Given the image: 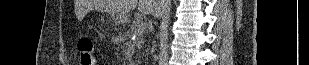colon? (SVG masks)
Returning <instances> with one entry per match:
<instances>
[{"mask_svg": "<svg viewBox=\"0 0 309 65\" xmlns=\"http://www.w3.org/2000/svg\"><path fill=\"white\" fill-rule=\"evenodd\" d=\"M81 65H97L93 42L90 38H81L78 42Z\"/></svg>", "mask_w": 309, "mask_h": 65, "instance_id": "5ec220e1", "label": "colon"}]
</instances>
